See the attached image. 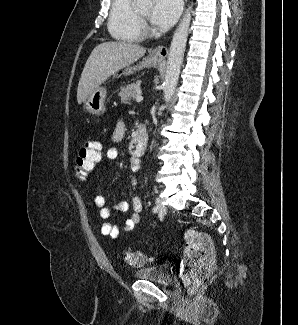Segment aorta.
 <instances>
[{"instance_id": "aorta-1", "label": "aorta", "mask_w": 298, "mask_h": 325, "mask_svg": "<svg viewBox=\"0 0 298 325\" xmlns=\"http://www.w3.org/2000/svg\"><path fill=\"white\" fill-rule=\"evenodd\" d=\"M136 4L139 8H151L153 0H136ZM191 18V6H188L172 36L163 82L164 106H168L170 100H172L178 84Z\"/></svg>"}]
</instances>
